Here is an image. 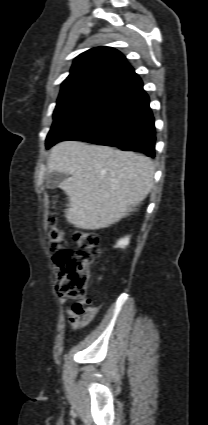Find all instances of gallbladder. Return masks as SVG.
I'll use <instances>...</instances> for the list:
<instances>
[{
  "mask_svg": "<svg viewBox=\"0 0 208 425\" xmlns=\"http://www.w3.org/2000/svg\"><path fill=\"white\" fill-rule=\"evenodd\" d=\"M65 174L61 172H51L46 178V188L55 189L60 186V184L65 181Z\"/></svg>",
  "mask_w": 208,
  "mask_h": 425,
  "instance_id": "bac80fb5",
  "label": "gallbladder"
}]
</instances>
